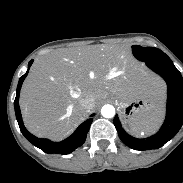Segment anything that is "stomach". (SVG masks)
Returning <instances> with one entry per match:
<instances>
[{"instance_id":"1","label":"stomach","mask_w":183,"mask_h":183,"mask_svg":"<svg viewBox=\"0 0 183 183\" xmlns=\"http://www.w3.org/2000/svg\"><path fill=\"white\" fill-rule=\"evenodd\" d=\"M123 119L128 123H135L145 115L155 110L159 105L152 98L138 96L134 98H122L114 96Z\"/></svg>"}]
</instances>
